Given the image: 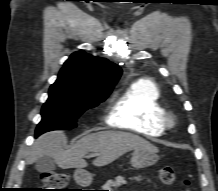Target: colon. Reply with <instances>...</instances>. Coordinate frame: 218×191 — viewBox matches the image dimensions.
Segmentation results:
<instances>
[{
	"mask_svg": "<svg viewBox=\"0 0 218 191\" xmlns=\"http://www.w3.org/2000/svg\"><path fill=\"white\" fill-rule=\"evenodd\" d=\"M158 177L160 181L165 185H172L175 182V171L171 166H163L158 171ZM43 188L38 191H69L67 186L70 182V176L63 172H46L41 175ZM185 184V190L187 188V182Z\"/></svg>",
	"mask_w": 218,
	"mask_h": 191,
	"instance_id": "obj_1",
	"label": "colon"
}]
</instances>
